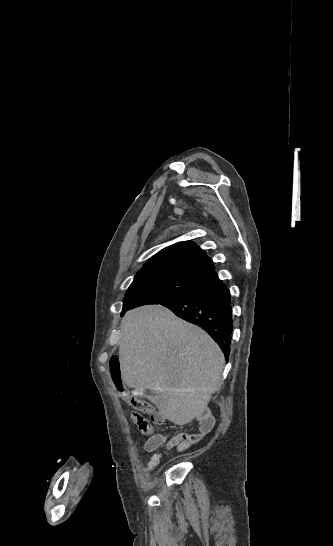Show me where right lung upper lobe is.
<instances>
[{"mask_svg":"<svg viewBox=\"0 0 333 546\" xmlns=\"http://www.w3.org/2000/svg\"><path fill=\"white\" fill-rule=\"evenodd\" d=\"M215 269L204 250L190 241H183L162 249L147 261L137 274H170L203 280Z\"/></svg>","mask_w":333,"mask_h":546,"instance_id":"cb5924a9","label":"right lung upper lobe"}]
</instances>
